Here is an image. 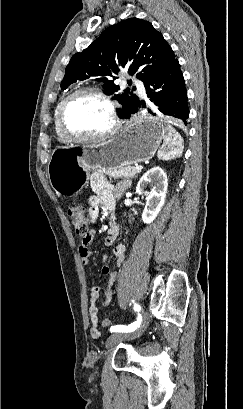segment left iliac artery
<instances>
[{"label":"left iliac artery","mask_w":243,"mask_h":409,"mask_svg":"<svg viewBox=\"0 0 243 409\" xmlns=\"http://www.w3.org/2000/svg\"><path fill=\"white\" fill-rule=\"evenodd\" d=\"M134 310L138 313V318L137 321H135L134 323L126 326V325H117L114 327H111L110 331L114 332V333H128V332H132L135 329H137L141 322H142V316L140 314L141 311V306L139 304H135L134 306Z\"/></svg>","instance_id":"44dca946"}]
</instances>
